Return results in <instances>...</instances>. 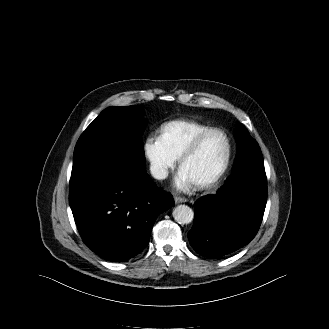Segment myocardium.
<instances>
[{
  "label": "myocardium",
  "mask_w": 329,
  "mask_h": 329,
  "mask_svg": "<svg viewBox=\"0 0 329 329\" xmlns=\"http://www.w3.org/2000/svg\"><path fill=\"white\" fill-rule=\"evenodd\" d=\"M212 133H221L225 137L226 144H227L226 154H225L223 163L220 166L219 170L208 180L196 184L197 188H199V189H206V188H210V187L214 186L215 184H217L220 181V179L226 173V171L230 165L232 154H233V145H232L231 138L229 137L227 132L221 128H209V129L203 131L202 133L198 134L190 142V144L187 146V148L182 152V154L179 157V168L181 169L183 164L197 152L201 142L208 135H210Z\"/></svg>",
  "instance_id": "f54148a6"
}]
</instances>
